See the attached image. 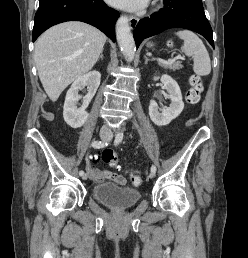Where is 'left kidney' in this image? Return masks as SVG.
<instances>
[{
	"label": "left kidney",
	"mask_w": 248,
	"mask_h": 258,
	"mask_svg": "<svg viewBox=\"0 0 248 258\" xmlns=\"http://www.w3.org/2000/svg\"><path fill=\"white\" fill-rule=\"evenodd\" d=\"M160 79L163 83V88L168 92V98L171 104L168 108L158 111L156 101L151 100L149 105V116L152 122L157 126H166L182 112L184 103L182 94L177 82L169 75L164 74L161 77H154V80Z\"/></svg>",
	"instance_id": "1"
}]
</instances>
